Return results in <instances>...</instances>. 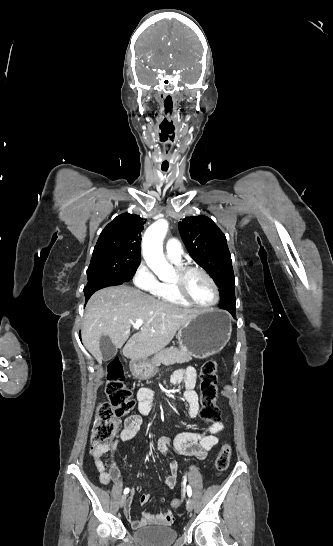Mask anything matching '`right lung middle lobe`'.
I'll use <instances>...</instances> for the list:
<instances>
[{"label":"right lung middle lobe","instance_id":"right-lung-middle-lobe-1","mask_svg":"<svg viewBox=\"0 0 333 546\" xmlns=\"http://www.w3.org/2000/svg\"><path fill=\"white\" fill-rule=\"evenodd\" d=\"M139 263L129 254L115 251H101L92 254L87 269L88 280L94 277H104L121 282L131 280Z\"/></svg>","mask_w":333,"mask_h":546}]
</instances>
